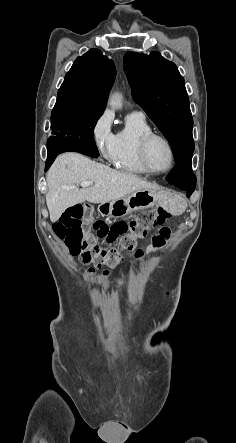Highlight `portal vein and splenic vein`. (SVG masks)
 Listing matches in <instances>:
<instances>
[{
  "instance_id": "portal-vein-and-splenic-vein-1",
  "label": "portal vein and splenic vein",
  "mask_w": 236,
  "mask_h": 443,
  "mask_svg": "<svg viewBox=\"0 0 236 443\" xmlns=\"http://www.w3.org/2000/svg\"><path fill=\"white\" fill-rule=\"evenodd\" d=\"M91 184H92V183H91L90 181H83V182L80 183V185H81L83 188H87V187H89Z\"/></svg>"
}]
</instances>
